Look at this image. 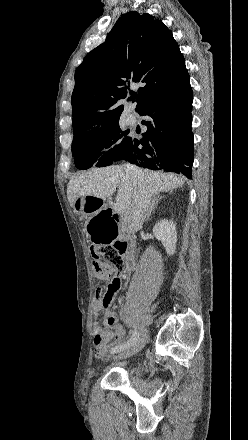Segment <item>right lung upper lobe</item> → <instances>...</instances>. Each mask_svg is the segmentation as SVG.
<instances>
[{
    "instance_id": "obj_1",
    "label": "right lung upper lobe",
    "mask_w": 248,
    "mask_h": 440,
    "mask_svg": "<svg viewBox=\"0 0 248 440\" xmlns=\"http://www.w3.org/2000/svg\"><path fill=\"white\" fill-rule=\"evenodd\" d=\"M188 78L179 46L161 20L136 11L123 14L105 43L89 52L75 72L74 136L119 122L123 105L118 101L133 82L142 84L137 110Z\"/></svg>"
}]
</instances>
